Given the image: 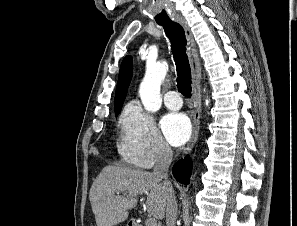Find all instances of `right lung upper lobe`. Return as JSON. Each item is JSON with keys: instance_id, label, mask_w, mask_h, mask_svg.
Masks as SVG:
<instances>
[{"instance_id": "right-lung-upper-lobe-1", "label": "right lung upper lobe", "mask_w": 297, "mask_h": 226, "mask_svg": "<svg viewBox=\"0 0 297 226\" xmlns=\"http://www.w3.org/2000/svg\"><path fill=\"white\" fill-rule=\"evenodd\" d=\"M133 64H132V57L126 56L120 67L119 77H118V83L115 93V109L118 107H122V104L125 100L127 89L130 84L131 78H132V70H133Z\"/></svg>"}]
</instances>
